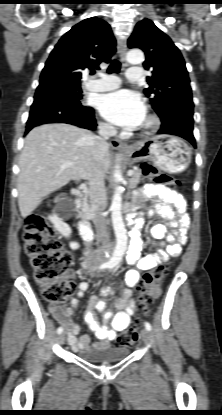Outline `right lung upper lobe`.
Masks as SVG:
<instances>
[{"mask_svg": "<svg viewBox=\"0 0 222 415\" xmlns=\"http://www.w3.org/2000/svg\"><path fill=\"white\" fill-rule=\"evenodd\" d=\"M115 44L108 23L96 17L85 19L62 36L50 53L40 79L55 76L80 85L85 68L98 69L100 63L110 62Z\"/></svg>", "mask_w": 222, "mask_h": 415, "instance_id": "right-lung-upper-lobe-1", "label": "right lung upper lobe"}]
</instances>
